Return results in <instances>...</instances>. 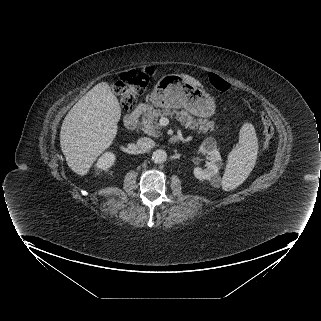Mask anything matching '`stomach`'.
Here are the masks:
<instances>
[{"mask_svg":"<svg viewBox=\"0 0 321 321\" xmlns=\"http://www.w3.org/2000/svg\"><path fill=\"white\" fill-rule=\"evenodd\" d=\"M150 102L161 108L183 107L202 118L211 117L216 109L213 97L179 74L161 77L151 93Z\"/></svg>","mask_w":321,"mask_h":321,"instance_id":"stomach-1","label":"stomach"}]
</instances>
